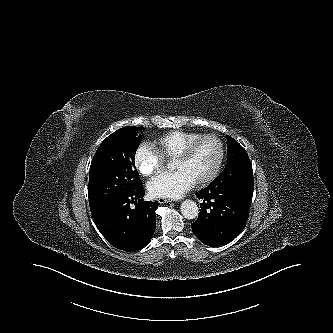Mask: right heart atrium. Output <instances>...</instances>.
Returning <instances> with one entry per match:
<instances>
[{
    "instance_id": "1",
    "label": "right heart atrium",
    "mask_w": 333,
    "mask_h": 333,
    "mask_svg": "<svg viewBox=\"0 0 333 333\" xmlns=\"http://www.w3.org/2000/svg\"><path fill=\"white\" fill-rule=\"evenodd\" d=\"M133 164L140 175L152 177L163 168V158L146 145L139 146L133 155Z\"/></svg>"
}]
</instances>
